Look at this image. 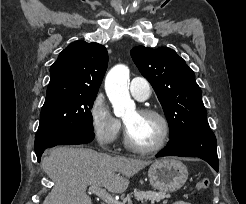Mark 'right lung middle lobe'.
I'll use <instances>...</instances> for the list:
<instances>
[{
  "mask_svg": "<svg viewBox=\"0 0 246 204\" xmlns=\"http://www.w3.org/2000/svg\"><path fill=\"white\" fill-rule=\"evenodd\" d=\"M95 98L96 94H73L45 101L35 151L56 146L79 130L93 132L91 108Z\"/></svg>",
  "mask_w": 246,
  "mask_h": 204,
  "instance_id": "right-lung-middle-lobe-1",
  "label": "right lung middle lobe"
}]
</instances>
